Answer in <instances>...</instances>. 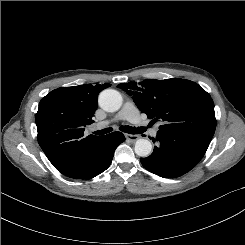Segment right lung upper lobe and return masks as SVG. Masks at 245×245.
Here are the masks:
<instances>
[{
    "mask_svg": "<svg viewBox=\"0 0 245 245\" xmlns=\"http://www.w3.org/2000/svg\"><path fill=\"white\" fill-rule=\"evenodd\" d=\"M108 83L61 87L43 97L35 115L37 139L53 166L62 174L85 164L103 136H84L92 124L98 94Z\"/></svg>",
    "mask_w": 245,
    "mask_h": 245,
    "instance_id": "1",
    "label": "right lung upper lobe"
}]
</instances>
